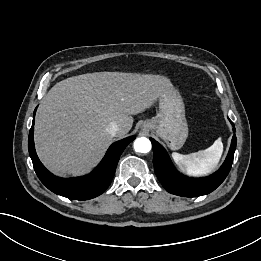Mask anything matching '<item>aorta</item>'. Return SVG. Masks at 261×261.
<instances>
[{"label": "aorta", "instance_id": "762f6f07", "mask_svg": "<svg viewBox=\"0 0 261 261\" xmlns=\"http://www.w3.org/2000/svg\"><path fill=\"white\" fill-rule=\"evenodd\" d=\"M136 152L148 153L151 150V142L146 137L137 138L134 142Z\"/></svg>", "mask_w": 261, "mask_h": 261}]
</instances>
